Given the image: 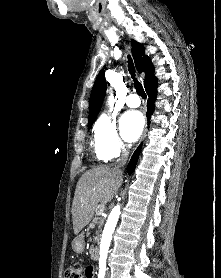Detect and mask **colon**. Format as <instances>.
Segmentation results:
<instances>
[{"label":"colon","instance_id":"obj_1","mask_svg":"<svg viewBox=\"0 0 221 278\" xmlns=\"http://www.w3.org/2000/svg\"><path fill=\"white\" fill-rule=\"evenodd\" d=\"M89 267H84L79 263L71 264L66 269L65 278H86Z\"/></svg>","mask_w":221,"mask_h":278}]
</instances>
